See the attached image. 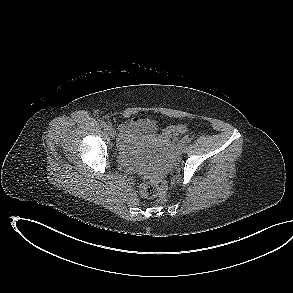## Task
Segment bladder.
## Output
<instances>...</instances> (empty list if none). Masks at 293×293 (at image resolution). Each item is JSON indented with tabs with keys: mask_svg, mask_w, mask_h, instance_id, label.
I'll use <instances>...</instances> for the list:
<instances>
[{
	"mask_svg": "<svg viewBox=\"0 0 293 293\" xmlns=\"http://www.w3.org/2000/svg\"><path fill=\"white\" fill-rule=\"evenodd\" d=\"M156 130V124L152 120H142L141 122L134 124L130 131V138L132 140H138L144 135H151Z\"/></svg>",
	"mask_w": 293,
	"mask_h": 293,
	"instance_id": "1",
	"label": "bladder"
}]
</instances>
